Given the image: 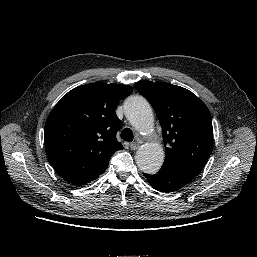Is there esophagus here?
Returning <instances> with one entry per match:
<instances>
[{"label": "esophagus", "mask_w": 257, "mask_h": 257, "mask_svg": "<svg viewBox=\"0 0 257 257\" xmlns=\"http://www.w3.org/2000/svg\"><path fill=\"white\" fill-rule=\"evenodd\" d=\"M131 150H137L139 148V143L133 142L130 144Z\"/></svg>", "instance_id": "esophagus-1"}]
</instances>
